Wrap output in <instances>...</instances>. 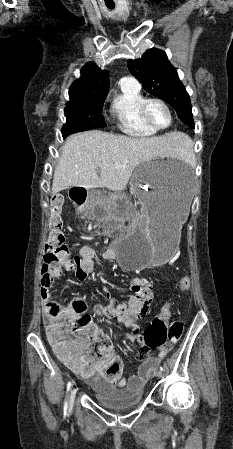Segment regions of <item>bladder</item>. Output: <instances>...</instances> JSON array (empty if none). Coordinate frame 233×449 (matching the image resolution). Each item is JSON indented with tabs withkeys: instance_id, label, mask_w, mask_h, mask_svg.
<instances>
[{
	"instance_id": "31cf9c89",
	"label": "bladder",
	"mask_w": 233,
	"mask_h": 449,
	"mask_svg": "<svg viewBox=\"0 0 233 449\" xmlns=\"http://www.w3.org/2000/svg\"><path fill=\"white\" fill-rule=\"evenodd\" d=\"M94 398L104 408L113 411L136 407L143 401V389L128 386L117 388L104 382L91 385Z\"/></svg>"
}]
</instances>
